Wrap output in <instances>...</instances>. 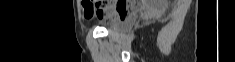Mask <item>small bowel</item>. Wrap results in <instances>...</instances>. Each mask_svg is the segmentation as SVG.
<instances>
[{
  "mask_svg": "<svg viewBox=\"0 0 235 62\" xmlns=\"http://www.w3.org/2000/svg\"><path fill=\"white\" fill-rule=\"evenodd\" d=\"M119 4L127 8H132L134 6V3L124 2V3H118L117 5L109 4V5H106L104 8L96 11L92 5L85 4L83 6V15L86 19H91L93 17H96L98 20H101V21L102 20L112 21V20L118 19L116 17V7Z\"/></svg>",
  "mask_w": 235,
  "mask_h": 62,
  "instance_id": "obj_1",
  "label": "small bowel"
}]
</instances>
